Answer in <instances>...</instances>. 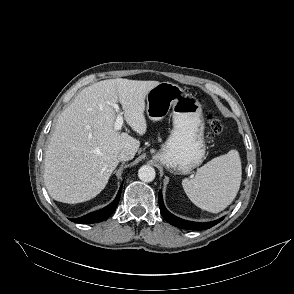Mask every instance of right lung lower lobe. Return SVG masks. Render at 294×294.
I'll return each mask as SVG.
<instances>
[{"label": "right lung lower lobe", "instance_id": "1", "mask_svg": "<svg viewBox=\"0 0 294 294\" xmlns=\"http://www.w3.org/2000/svg\"><path fill=\"white\" fill-rule=\"evenodd\" d=\"M121 190H122V186L120 187L119 192H118L115 200L107 207L100 209L98 211L89 213L83 217L76 218V219H70V220L73 222L82 223V224H90V223H96V222H101V221L106 220L116 209V207L119 203V200H120Z\"/></svg>", "mask_w": 294, "mask_h": 294}]
</instances>
